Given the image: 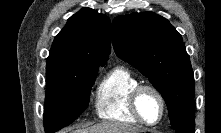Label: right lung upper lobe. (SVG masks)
<instances>
[{"label": "right lung upper lobe", "instance_id": "1", "mask_svg": "<svg viewBox=\"0 0 221 133\" xmlns=\"http://www.w3.org/2000/svg\"><path fill=\"white\" fill-rule=\"evenodd\" d=\"M111 50V22L105 15L83 8L68 19L55 37L46 73L77 65L105 63Z\"/></svg>", "mask_w": 221, "mask_h": 133}]
</instances>
